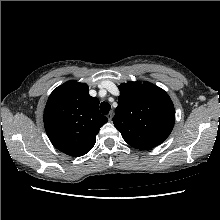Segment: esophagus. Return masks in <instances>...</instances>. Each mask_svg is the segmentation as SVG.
<instances>
[{
    "label": "esophagus",
    "instance_id": "esophagus-1",
    "mask_svg": "<svg viewBox=\"0 0 220 220\" xmlns=\"http://www.w3.org/2000/svg\"><path fill=\"white\" fill-rule=\"evenodd\" d=\"M107 118H108L109 121L112 120V118H113V111L109 112V114L107 115Z\"/></svg>",
    "mask_w": 220,
    "mask_h": 220
}]
</instances>
